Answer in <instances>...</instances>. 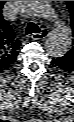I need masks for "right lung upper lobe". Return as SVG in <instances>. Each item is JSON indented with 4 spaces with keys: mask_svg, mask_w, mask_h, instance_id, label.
<instances>
[{
    "mask_svg": "<svg viewBox=\"0 0 74 122\" xmlns=\"http://www.w3.org/2000/svg\"><path fill=\"white\" fill-rule=\"evenodd\" d=\"M6 1H0V73L6 71L15 62L20 47L14 30L2 17V8Z\"/></svg>",
    "mask_w": 74,
    "mask_h": 122,
    "instance_id": "right-lung-upper-lobe-1",
    "label": "right lung upper lobe"
}]
</instances>
